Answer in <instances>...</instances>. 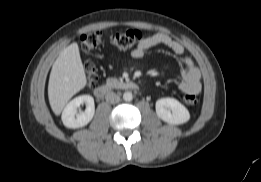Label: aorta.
I'll return each instance as SVG.
<instances>
[{
    "mask_svg": "<svg viewBox=\"0 0 261 182\" xmlns=\"http://www.w3.org/2000/svg\"><path fill=\"white\" fill-rule=\"evenodd\" d=\"M132 99H133V94L131 92L128 91L123 94L124 101L130 102V101H132Z\"/></svg>",
    "mask_w": 261,
    "mask_h": 182,
    "instance_id": "obj_1",
    "label": "aorta"
}]
</instances>
